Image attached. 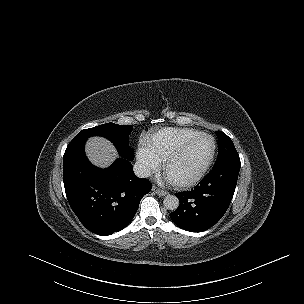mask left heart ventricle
<instances>
[{"mask_svg": "<svg viewBox=\"0 0 304 304\" xmlns=\"http://www.w3.org/2000/svg\"><path fill=\"white\" fill-rule=\"evenodd\" d=\"M212 140L202 138L192 144L183 154L170 165L168 176L173 181L189 179L204 166L212 152Z\"/></svg>", "mask_w": 304, "mask_h": 304, "instance_id": "b2bd125f", "label": "left heart ventricle"}]
</instances>
